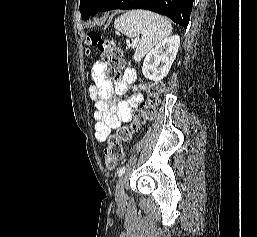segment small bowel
<instances>
[{
  "mask_svg": "<svg viewBox=\"0 0 257 237\" xmlns=\"http://www.w3.org/2000/svg\"><path fill=\"white\" fill-rule=\"evenodd\" d=\"M106 70L107 65L102 61H96L91 70L93 85L89 92L96 107L95 137L99 142H105L111 131L121 123L132 120L133 109L144 100L143 93L134 89L126 100L117 101V97L134 83L136 74L129 69L120 81L113 83L108 79Z\"/></svg>",
  "mask_w": 257,
  "mask_h": 237,
  "instance_id": "obj_1",
  "label": "small bowel"
}]
</instances>
